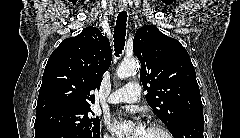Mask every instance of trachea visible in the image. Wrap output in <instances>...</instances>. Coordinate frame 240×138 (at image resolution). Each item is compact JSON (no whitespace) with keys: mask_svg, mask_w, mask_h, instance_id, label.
Returning <instances> with one entry per match:
<instances>
[{"mask_svg":"<svg viewBox=\"0 0 240 138\" xmlns=\"http://www.w3.org/2000/svg\"><path fill=\"white\" fill-rule=\"evenodd\" d=\"M126 22L127 13L126 11H122L117 16L116 25L114 28V48L116 56H119V54L122 53V50L125 46Z\"/></svg>","mask_w":240,"mask_h":138,"instance_id":"1","label":"trachea"}]
</instances>
